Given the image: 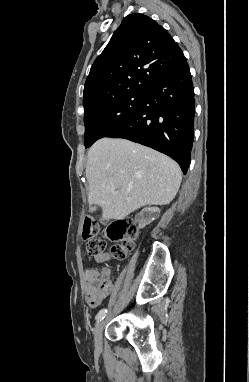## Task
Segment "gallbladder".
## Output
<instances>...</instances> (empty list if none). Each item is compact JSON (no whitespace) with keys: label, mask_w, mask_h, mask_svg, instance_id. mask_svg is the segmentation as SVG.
Wrapping results in <instances>:
<instances>
[{"label":"gallbladder","mask_w":249,"mask_h":382,"mask_svg":"<svg viewBox=\"0 0 249 382\" xmlns=\"http://www.w3.org/2000/svg\"><path fill=\"white\" fill-rule=\"evenodd\" d=\"M89 209H90L91 212H94V211L97 210V206H96V205H94V206H90Z\"/></svg>","instance_id":"obj_1"}]
</instances>
